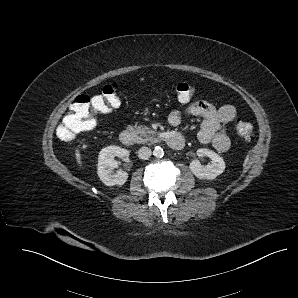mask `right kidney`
Masks as SVG:
<instances>
[{"mask_svg": "<svg viewBox=\"0 0 298 298\" xmlns=\"http://www.w3.org/2000/svg\"><path fill=\"white\" fill-rule=\"evenodd\" d=\"M131 150L120 145L104 147L100 150L97 163V174L106 185L123 184L128 177L126 171L114 169L118 166L115 156L123 159L129 158Z\"/></svg>", "mask_w": 298, "mask_h": 298, "instance_id": "obj_1", "label": "right kidney"}]
</instances>
